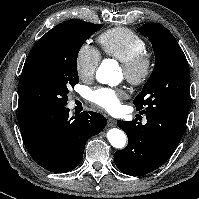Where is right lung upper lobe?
Here are the masks:
<instances>
[{
  "mask_svg": "<svg viewBox=\"0 0 199 199\" xmlns=\"http://www.w3.org/2000/svg\"><path fill=\"white\" fill-rule=\"evenodd\" d=\"M44 117V115H41L18 103L17 118L22 136L28 134L34 127H36L42 121Z\"/></svg>",
  "mask_w": 199,
  "mask_h": 199,
  "instance_id": "cb5924a9",
  "label": "right lung upper lobe"
}]
</instances>
